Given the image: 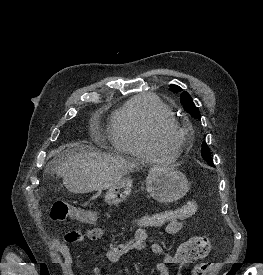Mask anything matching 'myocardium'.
<instances>
[{
    "mask_svg": "<svg viewBox=\"0 0 263 275\" xmlns=\"http://www.w3.org/2000/svg\"><path fill=\"white\" fill-rule=\"evenodd\" d=\"M171 136V139L165 138ZM187 130L176 119H164L158 122L151 132L153 143L160 149L177 153L187 139Z\"/></svg>",
    "mask_w": 263,
    "mask_h": 275,
    "instance_id": "obj_1",
    "label": "myocardium"
}]
</instances>
